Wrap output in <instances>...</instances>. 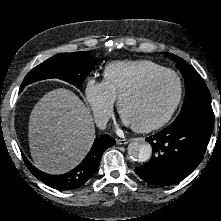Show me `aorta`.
Returning a JSON list of instances; mask_svg holds the SVG:
<instances>
[{"label":"aorta","mask_w":221,"mask_h":221,"mask_svg":"<svg viewBox=\"0 0 221 221\" xmlns=\"http://www.w3.org/2000/svg\"><path fill=\"white\" fill-rule=\"evenodd\" d=\"M152 147L145 140H134L128 145V155L136 162H146L150 159Z\"/></svg>","instance_id":"1"}]
</instances>
